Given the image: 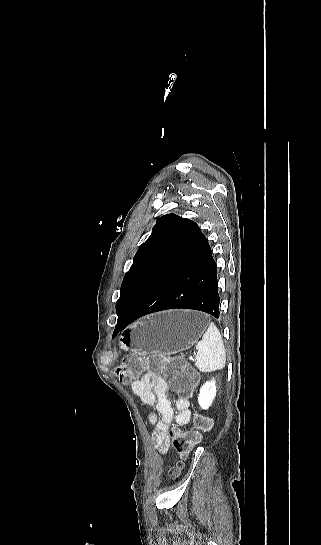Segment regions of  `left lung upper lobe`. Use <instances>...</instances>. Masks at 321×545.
I'll return each mask as SVG.
<instances>
[{"label": "left lung upper lobe", "instance_id": "left-lung-upper-lobe-1", "mask_svg": "<svg viewBox=\"0 0 321 545\" xmlns=\"http://www.w3.org/2000/svg\"><path fill=\"white\" fill-rule=\"evenodd\" d=\"M188 219L167 214L157 219L147 241L138 249L133 264L126 273L116 303L119 315H127L148 283L159 271L173 246L185 229Z\"/></svg>", "mask_w": 321, "mask_h": 545}]
</instances>
